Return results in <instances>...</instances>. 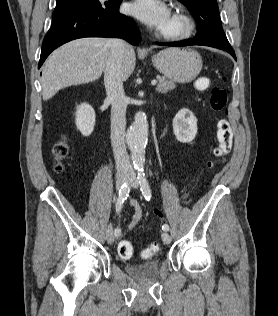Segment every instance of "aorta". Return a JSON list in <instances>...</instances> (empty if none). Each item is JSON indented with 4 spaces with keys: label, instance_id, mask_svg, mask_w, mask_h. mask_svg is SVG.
Listing matches in <instances>:
<instances>
[{
    "label": "aorta",
    "instance_id": "obj_1",
    "mask_svg": "<svg viewBox=\"0 0 278 316\" xmlns=\"http://www.w3.org/2000/svg\"><path fill=\"white\" fill-rule=\"evenodd\" d=\"M148 141V121L146 114L138 111L134 122L126 133V142L131 152L134 168L141 170L145 162V148Z\"/></svg>",
    "mask_w": 278,
    "mask_h": 316
}]
</instances>
